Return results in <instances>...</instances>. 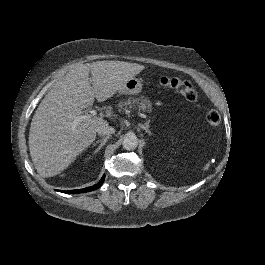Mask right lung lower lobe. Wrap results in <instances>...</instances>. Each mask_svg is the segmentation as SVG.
Segmentation results:
<instances>
[{
    "label": "right lung lower lobe",
    "mask_w": 265,
    "mask_h": 265,
    "mask_svg": "<svg viewBox=\"0 0 265 265\" xmlns=\"http://www.w3.org/2000/svg\"><path fill=\"white\" fill-rule=\"evenodd\" d=\"M105 180V175H103V177L101 178L100 182L91 186V187H87V188H84V189H77V190H68V191H61L59 190L60 192H63V193H66V194H76V193H84V192H89V191H93V190H96L98 189L102 183L104 182Z\"/></svg>",
    "instance_id": "right-lung-lower-lobe-1"
}]
</instances>
